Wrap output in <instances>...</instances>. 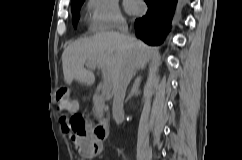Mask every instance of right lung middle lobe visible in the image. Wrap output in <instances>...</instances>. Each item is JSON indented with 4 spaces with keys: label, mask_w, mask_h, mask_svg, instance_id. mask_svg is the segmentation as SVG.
Instances as JSON below:
<instances>
[{
    "label": "right lung middle lobe",
    "mask_w": 242,
    "mask_h": 160,
    "mask_svg": "<svg viewBox=\"0 0 242 160\" xmlns=\"http://www.w3.org/2000/svg\"><path fill=\"white\" fill-rule=\"evenodd\" d=\"M84 0H74L72 1V16H73V24L76 27V21L79 19V11L81 5L83 4Z\"/></svg>",
    "instance_id": "right-lung-middle-lobe-1"
}]
</instances>
